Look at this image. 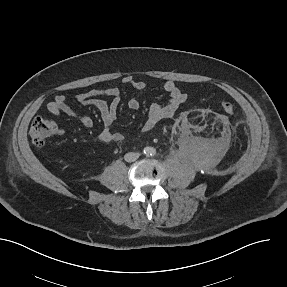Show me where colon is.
Wrapping results in <instances>:
<instances>
[{
    "label": "colon",
    "instance_id": "5ec220e1",
    "mask_svg": "<svg viewBox=\"0 0 287 287\" xmlns=\"http://www.w3.org/2000/svg\"><path fill=\"white\" fill-rule=\"evenodd\" d=\"M221 108L225 113H233L235 107L230 101H225L221 104ZM57 124L50 119L36 118L30 127V137L34 145L41 147L46 142L57 134Z\"/></svg>",
    "mask_w": 287,
    "mask_h": 287
}]
</instances>
